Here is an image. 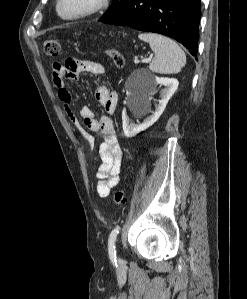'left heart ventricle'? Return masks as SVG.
<instances>
[{
    "label": "left heart ventricle",
    "instance_id": "1",
    "mask_svg": "<svg viewBox=\"0 0 247 299\" xmlns=\"http://www.w3.org/2000/svg\"><path fill=\"white\" fill-rule=\"evenodd\" d=\"M90 0H64L61 10L64 14H73L84 8Z\"/></svg>",
    "mask_w": 247,
    "mask_h": 299
}]
</instances>
